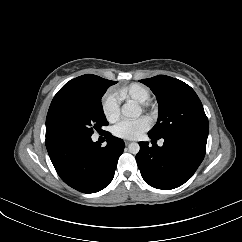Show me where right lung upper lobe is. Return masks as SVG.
I'll return each instance as SVG.
<instances>
[{
    "label": "right lung upper lobe",
    "mask_w": 242,
    "mask_h": 242,
    "mask_svg": "<svg viewBox=\"0 0 242 242\" xmlns=\"http://www.w3.org/2000/svg\"><path fill=\"white\" fill-rule=\"evenodd\" d=\"M112 81L103 79L99 76L86 74L70 80L59 91L75 90L82 92H92L98 90Z\"/></svg>",
    "instance_id": "cb5924a9"
}]
</instances>
